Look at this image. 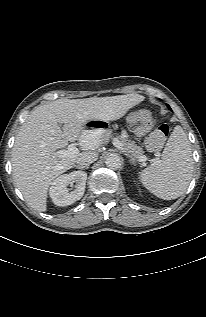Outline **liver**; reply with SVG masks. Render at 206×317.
Segmentation results:
<instances>
[{
  "instance_id": "obj_1",
  "label": "liver",
  "mask_w": 206,
  "mask_h": 317,
  "mask_svg": "<svg viewBox=\"0 0 206 317\" xmlns=\"http://www.w3.org/2000/svg\"><path fill=\"white\" fill-rule=\"evenodd\" d=\"M144 100L139 94L85 99H58L36 107L22 124L12 149V172L16 186L27 203L38 212L47 210L48 189L54 179L71 169L77 158H58L57 149L68 142L80 141L83 150H95L99 137L89 146L81 135L92 120L109 122L120 119ZM59 124H63L62 129Z\"/></svg>"
}]
</instances>
